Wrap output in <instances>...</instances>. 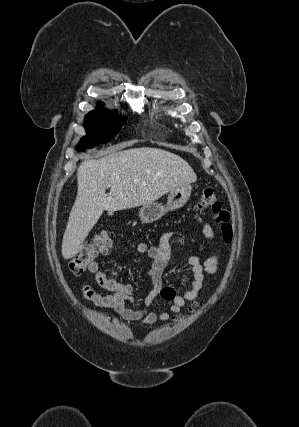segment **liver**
Here are the masks:
<instances>
[{
	"label": "liver",
	"instance_id": "liver-1",
	"mask_svg": "<svg viewBox=\"0 0 299 427\" xmlns=\"http://www.w3.org/2000/svg\"><path fill=\"white\" fill-rule=\"evenodd\" d=\"M196 180L183 158L158 148H133L83 161L77 169V196L63 235L62 256L71 259L82 250L83 241L104 210L149 204Z\"/></svg>",
	"mask_w": 299,
	"mask_h": 427
}]
</instances>
